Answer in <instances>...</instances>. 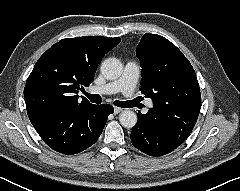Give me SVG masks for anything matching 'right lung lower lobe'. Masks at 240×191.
I'll return each instance as SVG.
<instances>
[{"instance_id":"98d812e1","label":"right lung lower lobe","mask_w":240,"mask_h":191,"mask_svg":"<svg viewBox=\"0 0 240 191\" xmlns=\"http://www.w3.org/2000/svg\"><path fill=\"white\" fill-rule=\"evenodd\" d=\"M113 107L107 104L57 106L29 117L42 140L53 150L73 155L93 145L100 137Z\"/></svg>"}]
</instances>
